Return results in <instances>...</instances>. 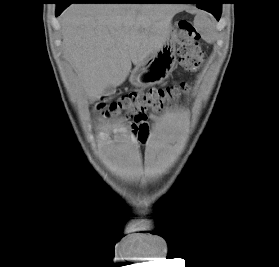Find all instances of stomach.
<instances>
[{
  "label": "stomach",
  "mask_w": 279,
  "mask_h": 267,
  "mask_svg": "<svg viewBox=\"0 0 279 267\" xmlns=\"http://www.w3.org/2000/svg\"><path fill=\"white\" fill-rule=\"evenodd\" d=\"M175 31L170 30L168 39L150 58L136 66L130 73L129 81L135 87H149L163 82L172 72L176 63Z\"/></svg>",
  "instance_id": "obj_1"
}]
</instances>
